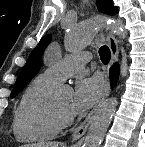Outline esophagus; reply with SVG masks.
<instances>
[{
  "label": "esophagus",
  "mask_w": 145,
  "mask_h": 147,
  "mask_svg": "<svg viewBox=\"0 0 145 147\" xmlns=\"http://www.w3.org/2000/svg\"><path fill=\"white\" fill-rule=\"evenodd\" d=\"M107 42L111 52V65H112L118 60L119 49H118L117 40L115 39L114 35L111 32H109L107 35ZM110 91H111L110 84H109V81L107 80L106 86L100 98L97 100L96 104L94 105L93 109L90 111V113L85 118L83 123L73 132L71 136L72 141H77L85 135L95 112L97 111L101 103L108 97V95L110 94Z\"/></svg>",
  "instance_id": "obj_1"
}]
</instances>
